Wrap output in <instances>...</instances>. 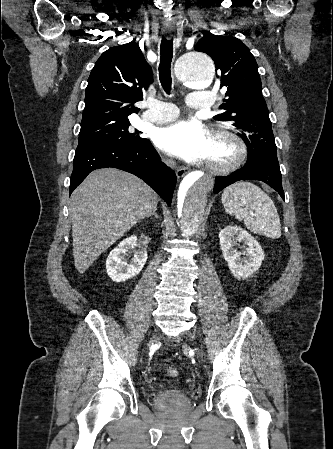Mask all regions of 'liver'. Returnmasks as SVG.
I'll use <instances>...</instances> for the list:
<instances>
[{
	"label": "liver",
	"mask_w": 333,
	"mask_h": 449,
	"mask_svg": "<svg viewBox=\"0 0 333 449\" xmlns=\"http://www.w3.org/2000/svg\"><path fill=\"white\" fill-rule=\"evenodd\" d=\"M157 204L158 195L130 173L113 168L91 172L72 193L69 205L78 272L84 273Z\"/></svg>",
	"instance_id": "6515ba94"
}]
</instances>
